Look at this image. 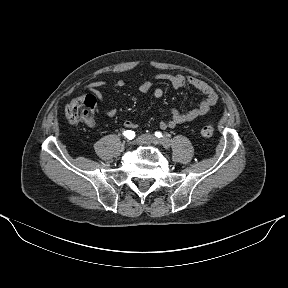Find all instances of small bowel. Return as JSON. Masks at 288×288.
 <instances>
[{
    "label": "small bowel",
    "instance_id": "c3829d8e",
    "mask_svg": "<svg viewBox=\"0 0 288 288\" xmlns=\"http://www.w3.org/2000/svg\"><path fill=\"white\" fill-rule=\"evenodd\" d=\"M158 79L169 82L174 88H181L186 85H190L201 93L204 94L205 98L197 106L189 110L188 112H182L178 109L172 108L168 112L170 117L168 119L162 120L160 122V127L162 129L174 128L177 125H180L185 122H190L195 119L206 116L211 109L215 106L218 100V96L214 89L209 86L204 81L190 76V75H171V74H157ZM126 82L124 80H118L115 83V87H123ZM105 85V82L102 80L94 81L87 85L86 89L92 92L97 96L102 102H104L103 95L100 91V88ZM140 92L142 94H152L155 98H161L164 94V91L160 87H154L150 82H145L140 86ZM103 110L106 115L113 116L116 114V109L112 106L104 104ZM89 126H94V121L87 123ZM124 127L129 130H135L138 128V124L133 120H126L124 122Z\"/></svg>",
    "mask_w": 288,
    "mask_h": 288
}]
</instances>
